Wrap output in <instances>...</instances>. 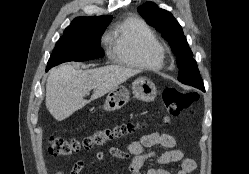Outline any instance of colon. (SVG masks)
<instances>
[{
  "label": "colon",
  "instance_id": "obj_1",
  "mask_svg": "<svg viewBox=\"0 0 249 174\" xmlns=\"http://www.w3.org/2000/svg\"><path fill=\"white\" fill-rule=\"evenodd\" d=\"M198 97V94L194 92H185L175 87L165 88L162 99L167 112L166 120H172L182 112L191 110ZM136 129L137 125L133 123H122L113 127L101 128L82 138L52 137L49 141L48 151L55 157L70 156L83 150L102 146L111 140L123 138L134 133Z\"/></svg>",
  "mask_w": 249,
  "mask_h": 174
}]
</instances>
